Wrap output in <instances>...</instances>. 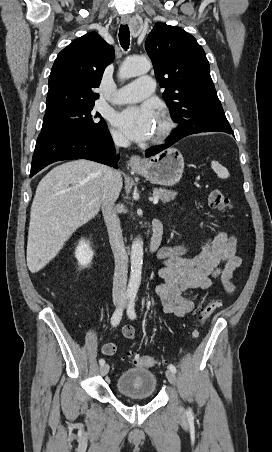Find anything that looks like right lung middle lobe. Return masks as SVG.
Segmentation results:
<instances>
[{
    "mask_svg": "<svg viewBox=\"0 0 272 452\" xmlns=\"http://www.w3.org/2000/svg\"><path fill=\"white\" fill-rule=\"evenodd\" d=\"M92 105L45 114L41 133L95 132L107 127L105 120Z\"/></svg>",
    "mask_w": 272,
    "mask_h": 452,
    "instance_id": "dd1d6c3e",
    "label": "right lung middle lobe"
}]
</instances>
